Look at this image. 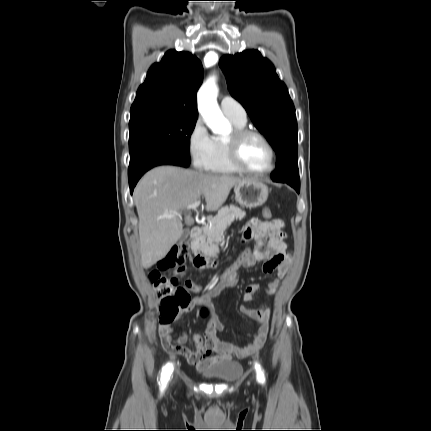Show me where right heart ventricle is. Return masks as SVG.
<instances>
[{
  "label": "right heart ventricle",
  "instance_id": "1",
  "mask_svg": "<svg viewBox=\"0 0 431 431\" xmlns=\"http://www.w3.org/2000/svg\"><path fill=\"white\" fill-rule=\"evenodd\" d=\"M229 119L235 129L245 128L246 122L242 123L231 118ZM209 171L216 174H234L239 172L229 160L225 140H216L215 158Z\"/></svg>",
  "mask_w": 431,
  "mask_h": 431
}]
</instances>
